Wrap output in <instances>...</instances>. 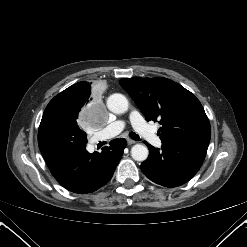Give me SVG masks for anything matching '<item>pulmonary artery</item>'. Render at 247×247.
I'll list each match as a JSON object with an SVG mask.
<instances>
[{"label":"pulmonary artery","instance_id":"obj_1","mask_svg":"<svg viewBox=\"0 0 247 247\" xmlns=\"http://www.w3.org/2000/svg\"><path fill=\"white\" fill-rule=\"evenodd\" d=\"M129 120L133 126V128L148 142L153 144L154 146H161V140L159 136L156 134V131L149 126L145 120L142 118L140 113L136 110L131 111L129 114ZM126 126V122L124 120H116L106 126L102 131L99 132V139L105 140L115 137L119 133L123 131Z\"/></svg>","mask_w":247,"mask_h":247}]
</instances>
